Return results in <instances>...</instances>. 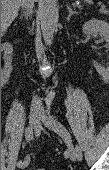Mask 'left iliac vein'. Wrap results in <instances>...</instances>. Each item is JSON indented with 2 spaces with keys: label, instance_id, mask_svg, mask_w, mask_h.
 Returning <instances> with one entry per match:
<instances>
[{
  "label": "left iliac vein",
  "instance_id": "4c4485c4",
  "mask_svg": "<svg viewBox=\"0 0 109 170\" xmlns=\"http://www.w3.org/2000/svg\"><path fill=\"white\" fill-rule=\"evenodd\" d=\"M42 123L47 128L56 132L64 140V142L67 145V152L70 157V160L76 161L77 160V152L73 145L71 135H70L69 131L66 129V127L64 125H62L60 122L53 120V119H48V118L43 119Z\"/></svg>",
  "mask_w": 109,
  "mask_h": 170
}]
</instances>
